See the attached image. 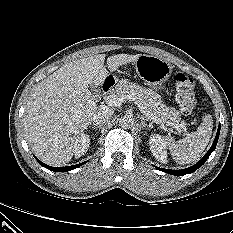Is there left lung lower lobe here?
<instances>
[{"label":"left lung lower lobe","mask_w":233,"mask_h":233,"mask_svg":"<svg viewBox=\"0 0 233 233\" xmlns=\"http://www.w3.org/2000/svg\"><path fill=\"white\" fill-rule=\"evenodd\" d=\"M219 134H220V124H219V128H218L216 137L214 139V142H213L211 148L204 155V157L199 162H197L195 165H193L189 168L181 169V170L163 169V168H159L156 166H155V168H157L160 171H163V172H166L168 174L175 175V176H183L186 174L193 173L194 171H196L198 168H200L206 162V160L209 158L210 154L215 150L217 142H218Z\"/></svg>","instance_id":"1"}]
</instances>
